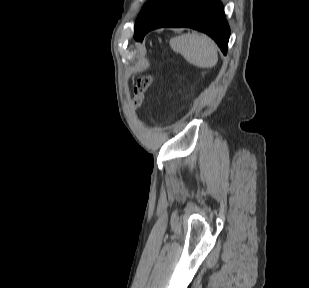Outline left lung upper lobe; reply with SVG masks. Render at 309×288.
I'll list each match as a JSON object with an SVG mask.
<instances>
[{
	"label": "left lung upper lobe",
	"mask_w": 309,
	"mask_h": 288,
	"mask_svg": "<svg viewBox=\"0 0 309 288\" xmlns=\"http://www.w3.org/2000/svg\"><path fill=\"white\" fill-rule=\"evenodd\" d=\"M159 0H149L142 12L139 14L137 20H136V23H135V27H134V34L137 33V31L140 29L143 21L145 20V18L148 16V14L150 13V11L152 10V8L157 4Z\"/></svg>",
	"instance_id": "left-lung-upper-lobe-1"
}]
</instances>
